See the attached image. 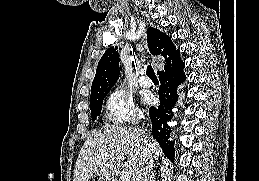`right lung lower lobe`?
Listing matches in <instances>:
<instances>
[{
  "label": "right lung lower lobe",
  "instance_id": "1",
  "mask_svg": "<svg viewBox=\"0 0 259 181\" xmlns=\"http://www.w3.org/2000/svg\"><path fill=\"white\" fill-rule=\"evenodd\" d=\"M183 68L184 63L178 52L166 61L163 71L157 72L161 82L160 106L151 107L149 111L153 137L161 145L164 154L172 160L174 159V142L168 141L171 129L167 122L173 116L172 105H175L177 101V87L185 81Z\"/></svg>",
  "mask_w": 259,
  "mask_h": 181
}]
</instances>
